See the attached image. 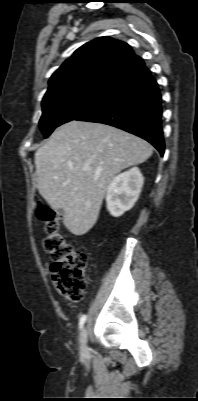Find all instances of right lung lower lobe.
Returning a JSON list of instances; mask_svg holds the SVG:
<instances>
[{
  "label": "right lung lower lobe",
  "mask_w": 198,
  "mask_h": 401,
  "mask_svg": "<svg viewBox=\"0 0 198 401\" xmlns=\"http://www.w3.org/2000/svg\"><path fill=\"white\" fill-rule=\"evenodd\" d=\"M161 95L143 64L111 85L102 99L75 120L111 125L150 142L163 156Z\"/></svg>",
  "instance_id": "right-lung-lower-lobe-1"
}]
</instances>
